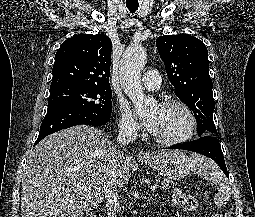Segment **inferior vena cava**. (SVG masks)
Masks as SVG:
<instances>
[{
    "label": "inferior vena cava",
    "instance_id": "inferior-vena-cava-1",
    "mask_svg": "<svg viewBox=\"0 0 255 217\" xmlns=\"http://www.w3.org/2000/svg\"><path fill=\"white\" fill-rule=\"evenodd\" d=\"M136 138L135 129L132 127H122L119 131L117 143L125 146L133 142ZM118 173H119V152L116 147H111L108 158V172L105 188L106 209L108 217H116L119 212V191H118Z\"/></svg>",
    "mask_w": 255,
    "mask_h": 217
}]
</instances>
